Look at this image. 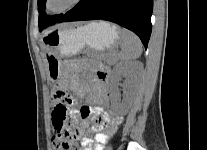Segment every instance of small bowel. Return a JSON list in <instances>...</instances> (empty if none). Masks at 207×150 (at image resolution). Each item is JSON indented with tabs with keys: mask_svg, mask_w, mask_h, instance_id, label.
Segmentation results:
<instances>
[{
	"mask_svg": "<svg viewBox=\"0 0 207 150\" xmlns=\"http://www.w3.org/2000/svg\"><path fill=\"white\" fill-rule=\"evenodd\" d=\"M67 70L70 89L76 95L86 97L88 103L80 110V121L73 123L79 134H82L86 128L88 129V137L83 139L81 150H102L107 140L116 132L122 118L120 115L108 113L102 107L109 99L110 70L107 66L91 60H80L69 65ZM77 72H83L85 80H80L75 75ZM70 112V116L75 118L76 112L73 106ZM91 136L94 140L90 138Z\"/></svg>",
	"mask_w": 207,
	"mask_h": 150,
	"instance_id": "c3829d8e",
	"label": "small bowel"
}]
</instances>
